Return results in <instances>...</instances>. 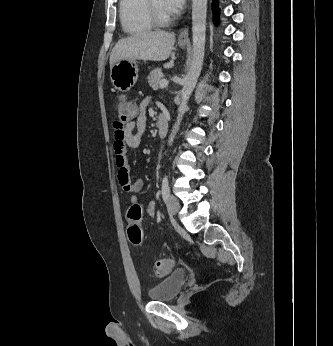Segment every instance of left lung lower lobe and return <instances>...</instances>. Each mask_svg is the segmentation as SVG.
Returning a JSON list of instances; mask_svg holds the SVG:
<instances>
[{
    "label": "left lung lower lobe",
    "mask_w": 333,
    "mask_h": 346,
    "mask_svg": "<svg viewBox=\"0 0 333 346\" xmlns=\"http://www.w3.org/2000/svg\"><path fill=\"white\" fill-rule=\"evenodd\" d=\"M212 9H213V13H214V23L218 24V22H219V18H218V13H219V10H218V0H213Z\"/></svg>",
    "instance_id": "1"
}]
</instances>
